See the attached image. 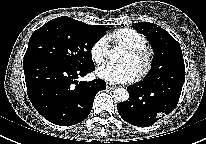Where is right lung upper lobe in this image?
<instances>
[{"label":"right lung upper lobe","mask_w":206,"mask_h":144,"mask_svg":"<svg viewBox=\"0 0 206 144\" xmlns=\"http://www.w3.org/2000/svg\"><path fill=\"white\" fill-rule=\"evenodd\" d=\"M94 26H96V27H98V28H102V27H105V26H100V25H94Z\"/></svg>","instance_id":"right-lung-upper-lobe-1"}]
</instances>
